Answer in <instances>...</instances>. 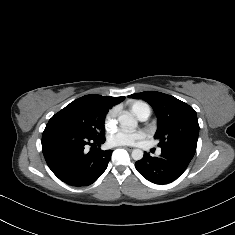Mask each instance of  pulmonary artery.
<instances>
[{
	"label": "pulmonary artery",
	"mask_w": 235,
	"mask_h": 235,
	"mask_svg": "<svg viewBox=\"0 0 235 235\" xmlns=\"http://www.w3.org/2000/svg\"><path fill=\"white\" fill-rule=\"evenodd\" d=\"M135 114L140 121H146L151 115V108L147 104L140 105Z\"/></svg>",
	"instance_id": "obj_1"
}]
</instances>
